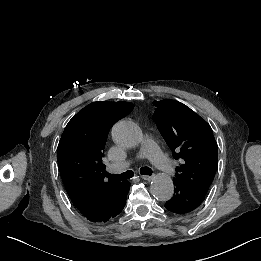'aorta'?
Here are the masks:
<instances>
[{"mask_svg":"<svg viewBox=\"0 0 261 261\" xmlns=\"http://www.w3.org/2000/svg\"><path fill=\"white\" fill-rule=\"evenodd\" d=\"M112 138L119 146L130 148L137 146L143 134L138 125L131 121H119L112 128ZM151 194L160 201H168L174 194V184L170 176L157 174L150 186Z\"/></svg>","mask_w":261,"mask_h":261,"instance_id":"aorta-1","label":"aorta"}]
</instances>
